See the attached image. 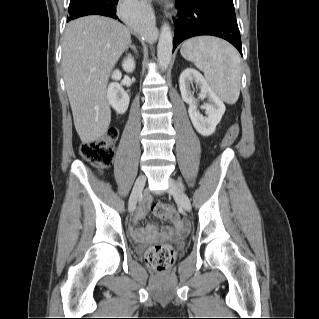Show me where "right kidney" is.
Returning a JSON list of instances; mask_svg holds the SVG:
<instances>
[{"mask_svg":"<svg viewBox=\"0 0 319 319\" xmlns=\"http://www.w3.org/2000/svg\"><path fill=\"white\" fill-rule=\"evenodd\" d=\"M122 67L128 73L134 71L135 62L131 55H128L123 60ZM121 76V72L119 70H115L112 74V79L119 81ZM107 99L109 104L118 114H124L127 111L130 100L129 95L119 83L113 82L108 86Z\"/></svg>","mask_w":319,"mask_h":319,"instance_id":"1","label":"right kidney"}]
</instances>
